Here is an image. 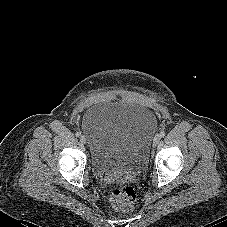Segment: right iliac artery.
I'll return each mask as SVG.
<instances>
[{
  "label": "right iliac artery",
  "instance_id": "1",
  "mask_svg": "<svg viewBox=\"0 0 227 227\" xmlns=\"http://www.w3.org/2000/svg\"><path fill=\"white\" fill-rule=\"evenodd\" d=\"M77 137H79L80 135H81V133L80 132H76V134H75Z\"/></svg>",
  "mask_w": 227,
  "mask_h": 227
}]
</instances>
